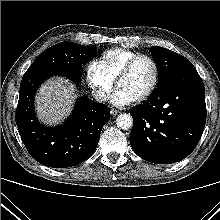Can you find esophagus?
I'll use <instances>...</instances> for the list:
<instances>
[{
  "label": "esophagus",
  "mask_w": 220,
  "mask_h": 220,
  "mask_svg": "<svg viewBox=\"0 0 220 220\" xmlns=\"http://www.w3.org/2000/svg\"><path fill=\"white\" fill-rule=\"evenodd\" d=\"M110 113H111L112 116H116L120 113V111L117 110V109H111Z\"/></svg>",
  "instance_id": "esophagus-1"
}]
</instances>
